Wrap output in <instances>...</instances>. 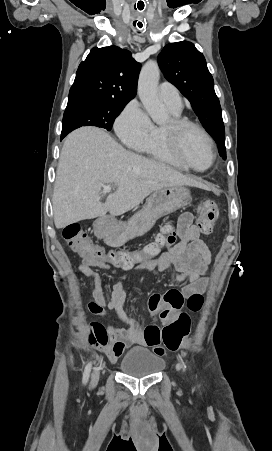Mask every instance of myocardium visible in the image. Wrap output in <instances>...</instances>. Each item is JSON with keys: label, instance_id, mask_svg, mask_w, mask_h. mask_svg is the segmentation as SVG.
Here are the masks:
<instances>
[{"label": "myocardium", "instance_id": "myocardium-1", "mask_svg": "<svg viewBox=\"0 0 272 451\" xmlns=\"http://www.w3.org/2000/svg\"><path fill=\"white\" fill-rule=\"evenodd\" d=\"M196 131L200 134L202 139L204 140L210 154H211V162L209 166L205 169L208 170L212 168L216 162L217 153L214 148V145L206 133V131L198 126L197 124L180 117H173L170 120V123L164 127L163 130V140L165 142H170L172 144L173 152H174V160L179 161L181 164V168L186 172H199L198 170H194L187 166L183 161V152H184V135L188 131ZM202 170V171H205Z\"/></svg>", "mask_w": 272, "mask_h": 451}]
</instances>
